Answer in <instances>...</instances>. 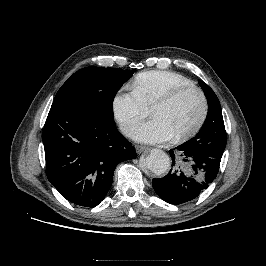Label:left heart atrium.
<instances>
[{"label":"left heart atrium","mask_w":266,"mask_h":266,"mask_svg":"<svg viewBox=\"0 0 266 266\" xmlns=\"http://www.w3.org/2000/svg\"><path fill=\"white\" fill-rule=\"evenodd\" d=\"M173 136L174 133L170 127L159 118H153L133 130V138L144 143H162L170 140Z\"/></svg>","instance_id":"1"}]
</instances>
